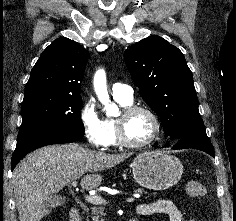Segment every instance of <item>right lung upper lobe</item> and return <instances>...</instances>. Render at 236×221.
Listing matches in <instances>:
<instances>
[{
  "label": "right lung upper lobe",
  "instance_id": "cb5924a9",
  "mask_svg": "<svg viewBox=\"0 0 236 221\" xmlns=\"http://www.w3.org/2000/svg\"><path fill=\"white\" fill-rule=\"evenodd\" d=\"M88 52L66 37L54 40L31 71L24 95L52 92L80 95Z\"/></svg>",
  "mask_w": 236,
  "mask_h": 221
}]
</instances>
